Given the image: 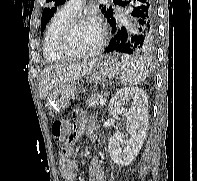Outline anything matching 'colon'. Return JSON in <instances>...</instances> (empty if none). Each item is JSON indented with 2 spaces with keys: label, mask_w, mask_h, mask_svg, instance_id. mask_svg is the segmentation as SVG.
<instances>
[{
  "label": "colon",
  "mask_w": 197,
  "mask_h": 181,
  "mask_svg": "<svg viewBox=\"0 0 197 181\" xmlns=\"http://www.w3.org/2000/svg\"><path fill=\"white\" fill-rule=\"evenodd\" d=\"M64 124L65 122L63 120H55L51 124V130L54 136H56L58 139L64 138ZM69 138V137H68ZM67 138V139H68ZM66 139V140H67ZM65 140V141H66Z\"/></svg>",
  "instance_id": "5ec220e1"
}]
</instances>
